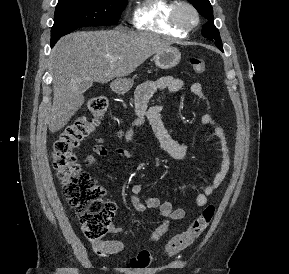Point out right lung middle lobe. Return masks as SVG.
<instances>
[{
    "mask_svg": "<svg viewBox=\"0 0 289 274\" xmlns=\"http://www.w3.org/2000/svg\"><path fill=\"white\" fill-rule=\"evenodd\" d=\"M127 3L128 0H59L51 29V46L77 28L116 24Z\"/></svg>",
    "mask_w": 289,
    "mask_h": 274,
    "instance_id": "dd1d6c3e",
    "label": "right lung middle lobe"
}]
</instances>
